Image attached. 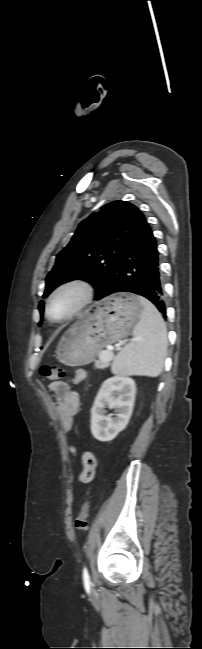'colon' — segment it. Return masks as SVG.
<instances>
[{"mask_svg": "<svg viewBox=\"0 0 202 649\" xmlns=\"http://www.w3.org/2000/svg\"><path fill=\"white\" fill-rule=\"evenodd\" d=\"M42 376L50 381H56L62 376V370L56 365H44L41 367ZM90 513V502L83 504L78 516L75 519V527L78 531H86L88 528V517Z\"/></svg>", "mask_w": 202, "mask_h": 649, "instance_id": "5ec220e1", "label": "colon"}]
</instances>
